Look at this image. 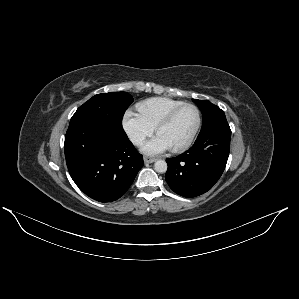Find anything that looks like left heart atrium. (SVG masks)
<instances>
[{"instance_id":"left-heart-atrium-1","label":"left heart atrium","mask_w":299,"mask_h":299,"mask_svg":"<svg viewBox=\"0 0 299 299\" xmlns=\"http://www.w3.org/2000/svg\"><path fill=\"white\" fill-rule=\"evenodd\" d=\"M141 149L146 154L158 155L171 149V146L161 135L158 134L150 141L144 143Z\"/></svg>"}]
</instances>
